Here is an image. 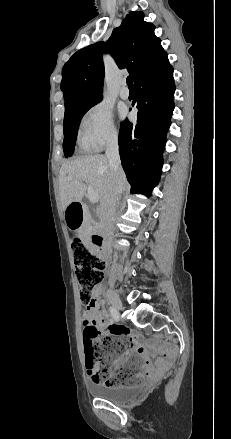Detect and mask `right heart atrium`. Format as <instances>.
<instances>
[{
  "label": "right heart atrium",
  "mask_w": 231,
  "mask_h": 439,
  "mask_svg": "<svg viewBox=\"0 0 231 439\" xmlns=\"http://www.w3.org/2000/svg\"><path fill=\"white\" fill-rule=\"evenodd\" d=\"M117 139L118 131L111 108L103 102L90 106L81 121L82 143L92 150H100L115 144Z\"/></svg>",
  "instance_id": "obj_1"
}]
</instances>
